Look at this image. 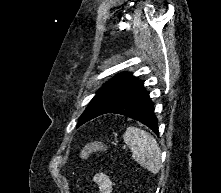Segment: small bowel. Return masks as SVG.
Listing matches in <instances>:
<instances>
[{"mask_svg": "<svg viewBox=\"0 0 221 193\" xmlns=\"http://www.w3.org/2000/svg\"><path fill=\"white\" fill-rule=\"evenodd\" d=\"M93 182L98 186L99 193H112V182L105 173H96Z\"/></svg>", "mask_w": 221, "mask_h": 193, "instance_id": "1", "label": "small bowel"}]
</instances>
